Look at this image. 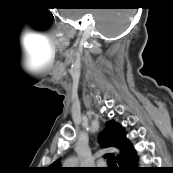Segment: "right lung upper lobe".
<instances>
[{
	"label": "right lung upper lobe",
	"instance_id": "right-lung-upper-lobe-1",
	"mask_svg": "<svg viewBox=\"0 0 173 173\" xmlns=\"http://www.w3.org/2000/svg\"><path fill=\"white\" fill-rule=\"evenodd\" d=\"M99 139L103 147H116L120 149L121 154L116 157L118 164L133 150V147L126 138L122 127L114 121L107 123V128L99 135ZM48 169L51 173H60L63 171L60 167L59 160L51 164Z\"/></svg>",
	"mask_w": 173,
	"mask_h": 173
}]
</instances>
